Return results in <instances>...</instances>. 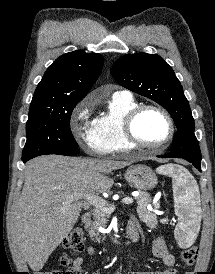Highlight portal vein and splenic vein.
<instances>
[{
	"label": "portal vein and splenic vein",
	"instance_id": "obj_1",
	"mask_svg": "<svg viewBox=\"0 0 215 274\" xmlns=\"http://www.w3.org/2000/svg\"><path fill=\"white\" fill-rule=\"evenodd\" d=\"M135 196H137V195H135ZM67 198L69 200H74V199H78V198L84 199L85 200L84 205L91 204L94 207H96L97 209H100L108 214H111L115 210L114 205L107 204V202L104 199H102L101 197H99L97 195L76 192L73 194H69L67 196ZM122 203L127 204V205L132 204L133 199L131 197H126V198L122 199Z\"/></svg>",
	"mask_w": 215,
	"mask_h": 274
}]
</instances>
